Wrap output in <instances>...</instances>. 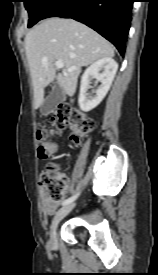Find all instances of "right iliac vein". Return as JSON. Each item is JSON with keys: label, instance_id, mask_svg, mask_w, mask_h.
Instances as JSON below:
<instances>
[{"label": "right iliac vein", "instance_id": "right-iliac-vein-1", "mask_svg": "<svg viewBox=\"0 0 158 275\" xmlns=\"http://www.w3.org/2000/svg\"><path fill=\"white\" fill-rule=\"evenodd\" d=\"M75 204H68L57 211L50 226V244L57 245V226L59 222L74 208Z\"/></svg>", "mask_w": 158, "mask_h": 275}]
</instances>
